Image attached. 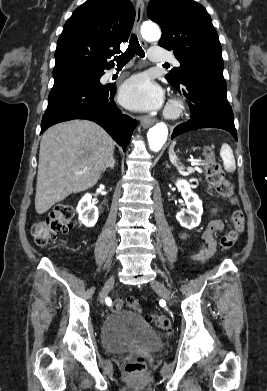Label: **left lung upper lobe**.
Instances as JSON below:
<instances>
[{
    "label": "left lung upper lobe",
    "mask_w": 267,
    "mask_h": 391,
    "mask_svg": "<svg viewBox=\"0 0 267 391\" xmlns=\"http://www.w3.org/2000/svg\"><path fill=\"white\" fill-rule=\"evenodd\" d=\"M148 17L162 29L159 46L181 66L165 77L173 86L194 75L223 78L221 44L206 9L193 0H150Z\"/></svg>",
    "instance_id": "5c2ea615"
}]
</instances>
